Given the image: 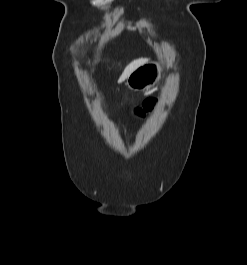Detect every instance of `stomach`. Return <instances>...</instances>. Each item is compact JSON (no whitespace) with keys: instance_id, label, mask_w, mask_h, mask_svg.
Here are the masks:
<instances>
[{"instance_id":"stomach-1","label":"stomach","mask_w":247,"mask_h":265,"mask_svg":"<svg viewBox=\"0 0 247 265\" xmlns=\"http://www.w3.org/2000/svg\"><path fill=\"white\" fill-rule=\"evenodd\" d=\"M162 75L163 69L160 63H145L130 74L126 79V85L134 91H147L160 81Z\"/></svg>"}]
</instances>
